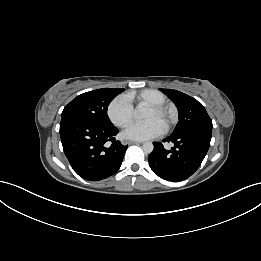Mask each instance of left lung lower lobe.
Masks as SVG:
<instances>
[{"label": "left lung lower lobe", "instance_id": "obj_1", "mask_svg": "<svg viewBox=\"0 0 261 261\" xmlns=\"http://www.w3.org/2000/svg\"><path fill=\"white\" fill-rule=\"evenodd\" d=\"M211 128H197L172 133L162 142L174 144L170 150L161 142H154L148 156L152 171L168 181H182L190 177L201 165L210 146Z\"/></svg>", "mask_w": 261, "mask_h": 261}]
</instances>
